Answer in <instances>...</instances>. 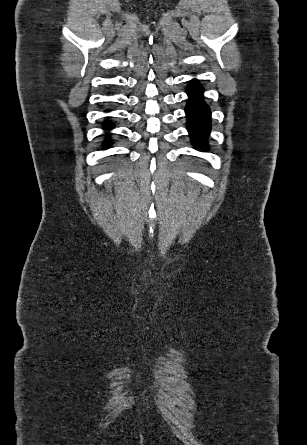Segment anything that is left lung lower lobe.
<instances>
[{
    "label": "left lung lower lobe",
    "mask_w": 307,
    "mask_h": 445,
    "mask_svg": "<svg viewBox=\"0 0 307 445\" xmlns=\"http://www.w3.org/2000/svg\"><path fill=\"white\" fill-rule=\"evenodd\" d=\"M202 92L203 89L197 83V80H193L187 89L189 99L185 112L187 115V129L193 144L199 150H206L211 113L209 107L203 101Z\"/></svg>",
    "instance_id": "0a47b994"
}]
</instances>
